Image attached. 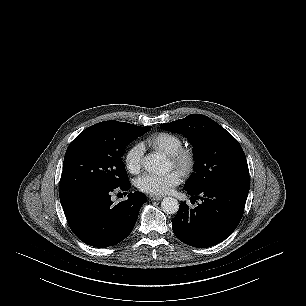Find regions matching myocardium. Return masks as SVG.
Segmentation results:
<instances>
[{
    "instance_id": "obj_1",
    "label": "myocardium",
    "mask_w": 306,
    "mask_h": 306,
    "mask_svg": "<svg viewBox=\"0 0 306 306\" xmlns=\"http://www.w3.org/2000/svg\"><path fill=\"white\" fill-rule=\"evenodd\" d=\"M173 165L185 176L190 175L196 165V154L191 147H181L169 156Z\"/></svg>"
}]
</instances>
